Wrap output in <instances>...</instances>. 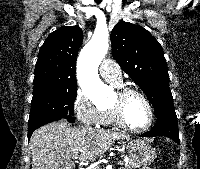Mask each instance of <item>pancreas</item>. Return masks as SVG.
Returning a JSON list of instances; mask_svg holds the SVG:
<instances>
[{"label": "pancreas", "instance_id": "1", "mask_svg": "<svg viewBox=\"0 0 200 169\" xmlns=\"http://www.w3.org/2000/svg\"><path fill=\"white\" fill-rule=\"evenodd\" d=\"M137 167L138 166L130 159L128 162L124 164V167L120 169H135ZM95 169H99V168H95Z\"/></svg>", "mask_w": 200, "mask_h": 169}]
</instances>
